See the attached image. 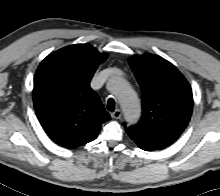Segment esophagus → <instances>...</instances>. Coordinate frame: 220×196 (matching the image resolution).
Instances as JSON below:
<instances>
[{
	"label": "esophagus",
	"instance_id": "1",
	"mask_svg": "<svg viewBox=\"0 0 220 196\" xmlns=\"http://www.w3.org/2000/svg\"><path fill=\"white\" fill-rule=\"evenodd\" d=\"M122 116V112L120 109L115 110L114 112L111 113V117L113 119H120Z\"/></svg>",
	"mask_w": 220,
	"mask_h": 196
}]
</instances>
